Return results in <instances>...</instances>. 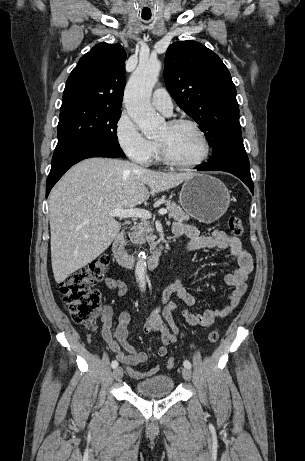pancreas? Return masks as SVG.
<instances>
[{
    "instance_id": "obj_1",
    "label": "pancreas",
    "mask_w": 305,
    "mask_h": 461,
    "mask_svg": "<svg viewBox=\"0 0 305 461\" xmlns=\"http://www.w3.org/2000/svg\"><path fill=\"white\" fill-rule=\"evenodd\" d=\"M166 209L169 211V217L177 222H185L189 220V214L185 213L180 206L175 202L166 201ZM156 236L153 235V227L149 221L142 220L132 228L131 242L133 244H144L149 242L151 248L155 247L154 240Z\"/></svg>"
}]
</instances>
